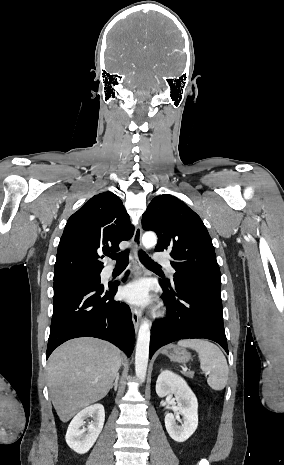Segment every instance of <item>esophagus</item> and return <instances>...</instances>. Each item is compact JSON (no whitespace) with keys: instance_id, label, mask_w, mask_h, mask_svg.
Instances as JSON below:
<instances>
[{"instance_id":"34e87169","label":"esophagus","mask_w":284,"mask_h":465,"mask_svg":"<svg viewBox=\"0 0 284 465\" xmlns=\"http://www.w3.org/2000/svg\"><path fill=\"white\" fill-rule=\"evenodd\" d=\"M141 237H142V228L141 225H137L134 236L132 239L133 242V251H132V262H133V267H134V275L135 277H140L144 274V266L139 260L138 257V250H142V243H141ZM131 312H132V321L134 324V329L137 332L141 320V309L137 307H131Z\"/></svg>"}]
</instances>
